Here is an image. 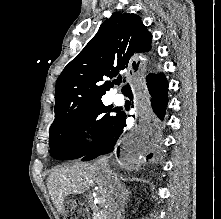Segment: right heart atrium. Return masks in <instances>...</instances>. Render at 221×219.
Returning a JSON list of instances; mask_svg holds the SVG:
<instances>
[{"mask_svg":"<svg viewBox=\"0 0 221 219\" xmlns=\"http://www.w3.org/2000/svg\"><path fill=\"white\" fill-rule=\"evenodd\" d=\"M86 131H87V134L89 135V137H93L94 129H93L92 125H89Z\"/></svg>","mask_w":221,"mask_h":219,"instance_id":"obj_1","label":"right heart atrium"}]
</instances>
